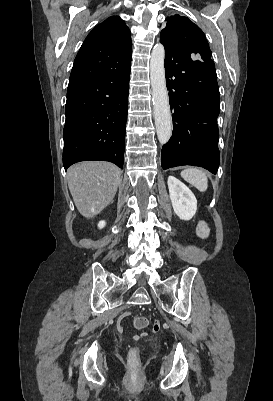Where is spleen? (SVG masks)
I'll return each mask as SVG.
<instances>
[{
    "mask_svg": "<svg viewBox=\"0 0 273 401\" xmlns=\"http://www.w3.org/2000/svg\"><path fill=\"white\" fill-rule=\"evenodd\" d=\"M181 176L201 192H205L208 188V178L205 172L199 170V168H185V170H182Z\"/></svg>",
    "mask_w": 273,
    "mask_h": 401,
    "instance_id": "obj_1",
    "label": "spleen"
}]
</instances>
